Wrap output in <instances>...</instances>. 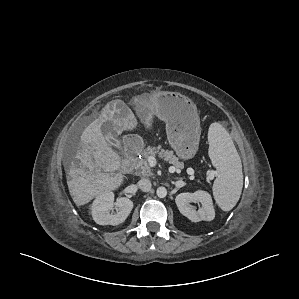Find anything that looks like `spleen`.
I'll list each match as a JSON object with an SVG mask.
<instances>
[{
	"mask_svg": "<svg viewBox=\"0 0 299 299\" xmlns=\"http://www.w3.org/2000/svg\"><path fill=\"white\" fill-rule=\"evenodd\" d=\"M209 157L217 169L218 176L213 184V195L218 206L230 211L238 202L243 173L240 156L227 130L218 122L208 130Z\"/></svg>",
	"mask_w": 299,
	"mask_h": 299,
	"instance_id": "3e777b00",
	"label": "spleen"
}]
</instances>
